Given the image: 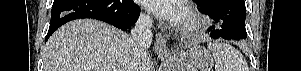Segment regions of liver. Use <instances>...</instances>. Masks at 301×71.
Segmentation results:
<instances>
[{
  "mask_svg": "<svg viewBox=\"0 0 301 71\" xmlns=\"http://www.w3.org/2000/svg\"><path fill=\"white\" fill-rule=\"evenodd\" d=\"M132 51L129 34L97 20H74L47 41L44 71H125ZM140 59L143 71H152L151 57Z\"/></svg>",
  "mask_w": 301,
  "mask_h": 71,
  "instance_id": "6515ba94",
  "label": "liver"
}]
</instances>
